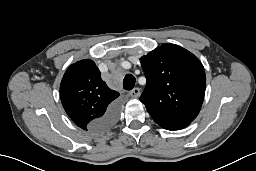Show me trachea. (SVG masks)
<instances>
[{"mask_svg":"<svg viewBox=\"0 0 256 171\" xmlns=\"http://www.w3.org/2000/svg\"><path fill=\"white\" fill-rule=\"evenodd\" d=\"M136 79L132 74H127L123 80V88L125 90H132L135 86Z\"/></svg>","mask_w":256,"mask_h":171,"instance_id":"trachea-1","label":"trachea"}]
</instances>
